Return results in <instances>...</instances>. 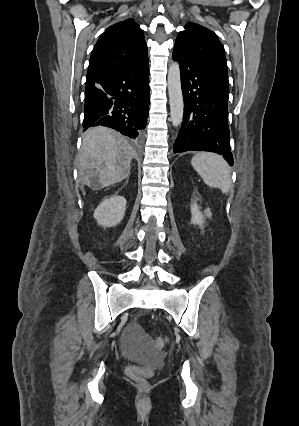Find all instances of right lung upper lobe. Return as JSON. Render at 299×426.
Instances as JSON below:
<instances>
[{
    "label": "right lung upper lobe",
    "mask_w": 299,
    "mask_h": 426,
    "mask_svg": "<svg viewBox=\"0 0 299 426\" xmlns=\"http://www.w3.org/2000/svg\"><path fill=\"white\" fill-rule=\"evenodd\" d=\"M147 62L143 30L133 19H127L110 26L99 38L90 57L87 78L141 67Z\"/></svg>",
    "instance_id": "right-lung-upper-lobe-1"
}]
</instances>
